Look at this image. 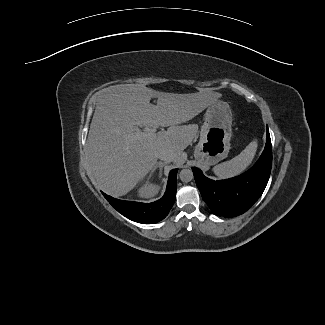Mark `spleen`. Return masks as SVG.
Here are the masks:
<instances>
[{
  "label": "spleen",
  "instance_id": "spleen-1",
  "mask_svg": "<svg viewBox=\"0 0 325 325\" xmlns=\"http://www.w3.org/2000/svg\"><path fill=\"white\" fill-rule=\"evenodd\" d=\"M257 147L258 143L255 139L249 143L239 155L229 161L216 165L213 168L214 173L219 178H230L241 174L252 163L257 151Z\"/></svg>",
  "mask_w": 325,
  "mask_h": 325
}]
</instances>
